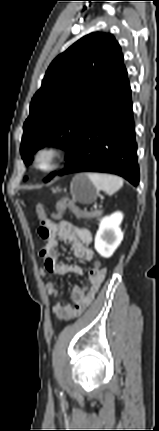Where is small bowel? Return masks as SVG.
I'll list each match as a JSON object with an SVG mask.
<instances>
[{"instance_id": "small-bowel-1", "label": "small bowel", "mask_w": 159, "mask_h": 431, "mask_svg": "<svg viewBox=\"0 0 159 431\" xmlns=\"http://www.w3.org/2000/svg\"><path fill=\"white\" fill-rule=\"evenodd\" d=\"M39 235L46 242L40 250V257L44 262L43 268L39 270L41 275L50 273L64 276L69 273L78 275L83 273L79 265L65 263L58 259L55 252L58 237L71 245L77 258L90 261L94 257V252L90 248L92 235L87 229L78 228L66 221L54 222L47 219L45 223L40 224ZM106 273L107 268L103 263H100L97 268L92 267L89 271V282L84 287L73 286L68 301L56 302L53 308L56 317L59 320H67L80 315L96 297ZM45 289L50 295H58V289L52 281L46 283Z\"/></svg>"}]
</instances>
